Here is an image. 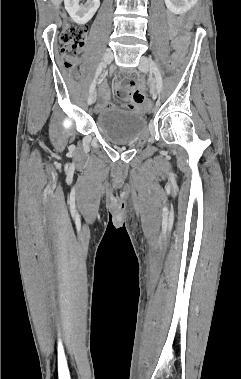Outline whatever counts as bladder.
Here are the masks:
<instances>
[{
	"label": "bladder",
	"instance_id": "1",
	"mask_svg": "<svg viewBox=\"0 0 241 379\" xmlns=\"http://www.w3.org/2000/svg\"><path fill=\"white\" fill-rule=\"evenodd\" d=\"M101 136L115 144H127L139 140L146 132V119L140 113L119 108L101 111L96 118Z\"/></svg>",
	"mask_w": 241,
	"mask_h": 379
}]
</instances>
